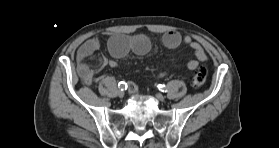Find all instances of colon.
Wrapping results in <instances>:
<instances>
[{
    "mask_svg": "<svg viewBox=\"0 0 279 148\" xmlns=\"http://www.w3.org/2000/svg\"><path fill=\"white\" fill-rule=\"evenodd\" d=\"M207 78V68L204 66L198 67L192 77V86L195 88H200L202 87Z\"/></svg>",
    "mask_w": 279,
    "mask_h": 148,
    "instance_id": "colon-1",
    "label": "colon"
}]
</instances>
